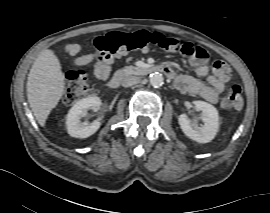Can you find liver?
Segmentation results:
<instances>
[{"label":"liver","mask_w":270,"mask_h":213,"mask_svg":"<svg viewBox=\"0 0 270 213\" xmlns=\"http://www.w3.org/2000/svg\"><path fill=\"white\" fill-rule=\"evenodd\" d=\"M26 88L30 108L38 123L44 126L65 91V76L52 50L40 52L28 74Z\"/></svg>","instance_id":"liver-1"}]
</instances>
